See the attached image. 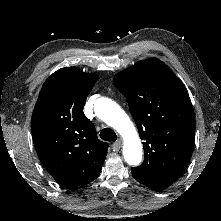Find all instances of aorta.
Returning a JSON list of instances; mask_svg holds the SVG:
<instances>
[{"label":"aorta","instance_id":"762f6f07","mask_svg":"<svg viewBox=\"0 0 221 221\" xmlns=\"http://www.w3.org/2000/svg\"><path fill=\"white\" fill-rule=\"evenodd\" d=\"M96 115L114 128L124 139L123 155L129 165H138L142 160V145L138 133L125 111L109 98L95 102Z\"/></svg>","mask_w":221,"mask_h":221}]
</instances>
